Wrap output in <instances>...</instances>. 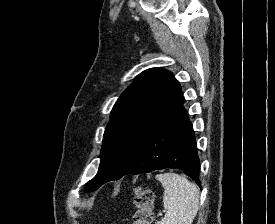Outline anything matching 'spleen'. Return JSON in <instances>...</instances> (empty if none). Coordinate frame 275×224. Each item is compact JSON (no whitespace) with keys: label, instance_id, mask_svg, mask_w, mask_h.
<instances>
[{"label":"spleen","instance_id":"obj_1","mask_svg":"<svg viewBox=\"0 0 275 224\" xmlns=\"http://www.w3.org/2000/svg\"><path fill=\"white\" fill-rule=\"evenodd\" d=\"M156 179L164 188L166 210L164 219L156 224H192L199 207L197 186L176 173L158 174Z\"/></svg>","mask_w":275,"mask_h":224}]
</instances>
